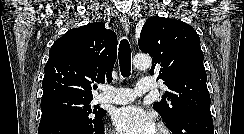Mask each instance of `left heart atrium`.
Wrapping results in <instances>:
<instances>
[{"mask_svg": "<svg viewBox=\"0 0 244 134\" xmlns=\"http://www.w3.org/2000/svg\"><path fill=\"white\" fill-rule=\"evenodd\" d=\"M112 120L122 134H155L156 132L153 117L135 105L116 109L112 114Z\"/></svg>", "mask_w": 244, "mask_h": 134, "instance_id": "1", "label": "left heart atrium"}]
</instances>
